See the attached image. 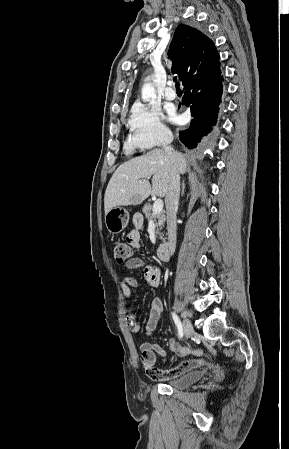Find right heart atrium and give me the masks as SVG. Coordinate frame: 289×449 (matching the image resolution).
Instances as JSON below:
<instances>
[{
  "instance_id": "right-heart-atrium-1",
  "label": "right heart atrium",
  "mask_w": 289,
  "mask_h": 449,
  "mask_svg": "<svg viewBox=\"0 0 289 449\" xmlns=\"http://www.w3.org/2000/svg\"><path fill=\"white\" fill-rule=\"evenodd\" d=\"M128 127L129 144L135 149H151L167 143L171 138V132L162 122L160 113L142 104L132 108Z\"/></svg>"
}]
</instances>
